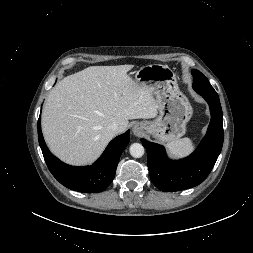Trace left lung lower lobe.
Instances as JSON below:
<instances>
[{
  "label": "left lung lower lobe",
  "mask_w": 253,
  "mask_h": 253,
  "mask_svg": "<svg viewBox=\"0 0 253 253\" xmlns=\"http://www.w3.org/2000/svg\"><path fill=\"white\" fill-rule=\"evenodd\" d=\"M208 102L211 122L201 144L189 157L168 160L163 146L141 139L154 185L164 192L181 191L202 183L211 172L223 145L222 108L218 96L199 93Z\"/></svg>",
  "instance_id": "0a47b994"
}]
</instances>
